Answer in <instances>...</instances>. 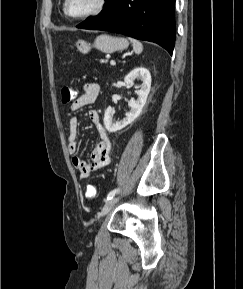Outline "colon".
Masks as SVG:
<instances>
[{
    "label": "colon",
    "mask_w": 243,
    "mask_h": 289,
    "mask_svg": "<svg viewBox=\"0 0 243 289\" xmlns=\"http://www.w3.org/2000/svg\"><path fill=\"white\" fill-rule=\"evenodd\" d=\"M76 97V91L71 86H64L61 90V100L64 104H68ZM85 196L88 199H93L96 196V188L94 185L89 184L85 189Z\"/></svg>",
    "instance_id": "5ec220e1"
}]
</instances>
